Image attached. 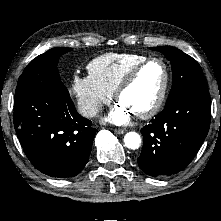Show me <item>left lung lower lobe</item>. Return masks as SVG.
<instances>
[{"mask_svg":"<svg viewBox=\"0 0 221 221\" xmlns=\"http://www.w3.org/2000/svg\"><path fill=\"white\" fill-rule=\"evenodd\" d=\"M211 119L207 88L190 91L166 106L141 129L144 138L140 168L157 177L182 171L207 136Z\"/></svg>","mask_w":221,"mask_h":221,"instance_id":"left-lung-lower-lobe-1","label":"left lung lower lobe"}]
</instances>
